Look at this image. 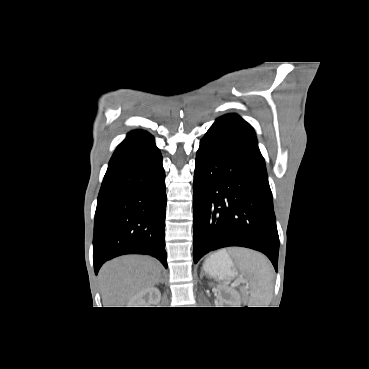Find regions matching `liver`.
<instances>
[{
    "instance_id": "1",
    "label": "liver",
    "mask_w": 369,
    "mask_h": 369,
    "mask_svg": "<svg viewBox=\"0 0 369 369\" xmlns=\"http://www.w3.org/2000/svg\"><path fill=\"white\" fill-rule=\"evenodd\" d=\"M161 276V265L148 256L127 255L106 262L100 272L104 307H122L134 295L154 286Z\"/></svg>"
}]
</instances>
